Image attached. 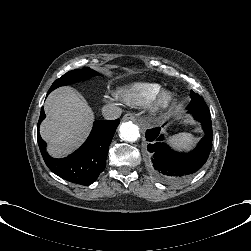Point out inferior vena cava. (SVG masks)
Segmentation results:
<instances>
[{
  "mask_svg": "<svg viewBox=\"0 0 251 251\" xmlns=\"http://www.w3.org/2000/svg\"><path fill=\"white\" fill-rule=\"evenodd\" d=\"M122 109L114 103H108L103 106L102 114L105 119H115L120 117Z\"/></svg>",
  "mask_w": 251,
  "mask_h": 251,
  "instance_id": "602c4592",
  "label": "inferior vena cava"
}]
</instances>
